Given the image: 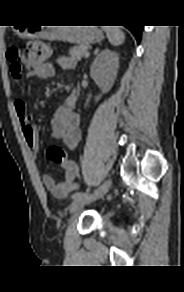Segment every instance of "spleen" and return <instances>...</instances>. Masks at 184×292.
Instances as JSON below:
<instances>
[{
    "mask_svg": "<svg viewBox=\"0 0 184 292\" xmlns=\"http://www.w3.org/2000/svg\"><path fill=\"white\" fill-rule=\"evenodd\" d=\"M103 30L106 32L107 38L113 46H119L124 42L125 34L119 27L106 26L103 27Z\"/></svg>",
    "mask_w": 184,
    "mask_h": 292,
    "instance_id": "obj_1",
    "label": "spleen"
}]
</instances>
